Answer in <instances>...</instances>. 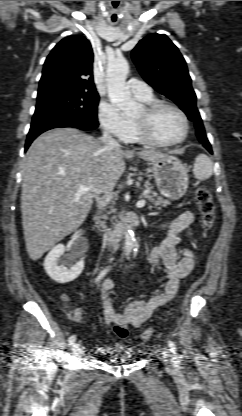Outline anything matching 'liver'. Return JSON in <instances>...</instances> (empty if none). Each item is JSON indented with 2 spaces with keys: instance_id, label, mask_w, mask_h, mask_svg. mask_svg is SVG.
I'll return each mask as SVG.
<instances>
[{
  "instance_id": "liver-1",
  "label": "liver",
  "mask_w": 242,
  "mask_h": 416,
  "mask_svg": "<svg viewBox=\"0 0 242 416\" xmlns=\"http://www.w3.org/2000/svg\"><path fill=\"white\" fill-rule=\"evenodd\" d=\"M137 154L146 161L167 156L153 150ZM133 156L134 151L108 148L100 138L76 128H55L38 136L25 157L21 194L29 257L40 259L84 222L94 195L79 194L80 185L111 192L125 171L124 158Z\"/></svg>"
}]
</instances>
